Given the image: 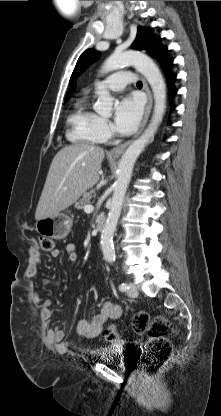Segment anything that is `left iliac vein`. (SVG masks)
Here are the masks:
<instances>
[{
	"label": "left iliac vein",
	"instance_id": "left-iliac-vein-1",
	"mask_svg": "<svg viewBox=\"0 0 221 416\" xmlns=\"http://www.w3.org/2000/svg\"><path fill=\"white\" fill-rule=\"evenodd\" d=\"M127 295L133 298L138 296V290L134 283H129V289L127 290Z\"/></svg>",
	"mask_w": 221,
	"mask_h": 416
}]
</instances>
